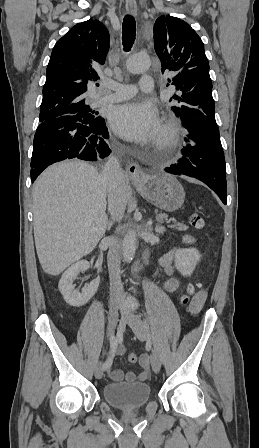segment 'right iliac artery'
<instances>
[{
	"mask_svg": "<svg viewBox=\"0 0 259 448\" xmlns=\"http://www.w3.org/2000/svg\"><path fill=\"white\" fill-rule=\"evenodd\" d=\"M116 347H117V339L115 338L114 335H112L110 337V352H111V356L102 365L103 370H107V369H109L111 367Z\"/></svg>",
	"mask_w": 259,
	"mask_h": 448,
	"instance_id": "right-iliac-artery-1",
	"label": "right iliac artery"
}]
</instances>
